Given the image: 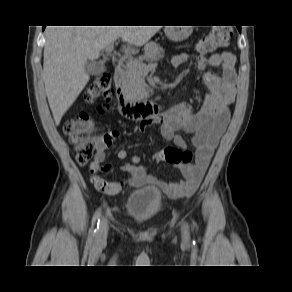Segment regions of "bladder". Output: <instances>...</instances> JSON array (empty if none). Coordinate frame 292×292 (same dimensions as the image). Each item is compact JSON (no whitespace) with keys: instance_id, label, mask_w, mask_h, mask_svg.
Returning a JSON list of instances; mask_svg holds the SVG:
<instances>
[{"instance_id":"bladder-1","label":"bladder","mask_w":292,"mask_h":292,"mask_svg":"<svg viewBox=\"0 0 292 292\" xmlns=\"http://www.w3.org/2000/svg\"><path fill=\"white\" fill-rule=\"evenodd\" d=\"M161 207L160 191L154 187H142L128 197L125 211L135 221L144 223L156 216Z\"/></svg>"}]
</instances>
